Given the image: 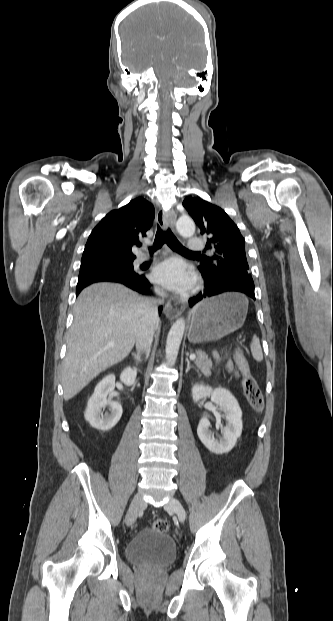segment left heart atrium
Instances as JSON below:
<instances>
[{"label":"left heart atrium","instance_id":"left-heart-atrium-1","mask_svg":"<svg viewBox=\"0 0 333 621\" xmlns=\"http://www.w3.org/2000/svg\"><path fill=\"white\" fill-rule=\"evenodd\" d=\"M152 279L157 284L173 291H185L194 283V276L187 271L184 264L176 259L166 260L157 265L152 272Z\"/></svg>","mask_w":333,"mask_h":621}]
</instances>
